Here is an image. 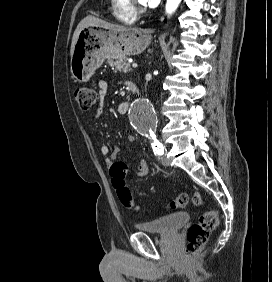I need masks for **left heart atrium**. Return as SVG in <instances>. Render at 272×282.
Listing matches in <instances>:
<instances>
[{"label":"left heart atrium","instance_id":"left-heart-atrium-1","mask_svg":"<svg viewBox=\"0 0 272 282\" xmlns=\"http://www.w3.org/2000/svg\"><path fill=\"white\" fill-rule=\"evenodd\" d=\"M145 7H155L159 4L160 0H142Z\"/></svg>","mask_w":272,"mask_h":282}]
</instances>
